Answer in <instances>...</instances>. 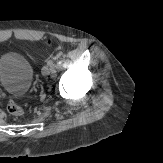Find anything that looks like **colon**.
Here are the masks:
<instances>
[{"label":"colon","mask_w":163,"mask_h":163,"mask_svg":"<svg viewBox=\"0 0 163 163\" xmlns=\"http://www.w3.org/2000/svg\"><path fill=\"white\" fill-rule=\"evenodd\" d=\"M7 110L13 116H22L24 114L23 108L13 101L9 102Z\"/></svg>","instance_id":"5ec220e1"}]
</instances>
